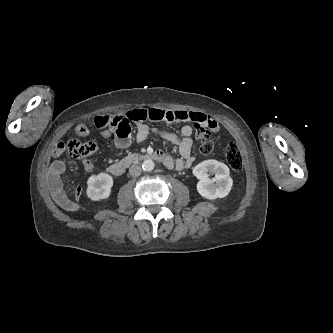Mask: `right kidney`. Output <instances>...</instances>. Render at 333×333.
Segmentation results:
<instances>
[{"label": "right kidney", "mask_w": 333, "mask_h": 333, "mask_svg": "<svg viewBox=\"0 0 333 333\" xmlns=\"http://www.w3.org/2000/svg\"><path fill=\"white\" fill-rule=\"evenodd\" d=\"M87 185V196L93 201H100L110 196L113 178L107 173L92 175L87 180Z\"/></svg>", "instance_id": "obj_1"}]
</instances>
